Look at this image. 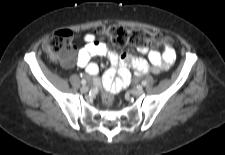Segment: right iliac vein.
Instances as JSON below:
<instances>
[{"label":"right iliac vein","mask_w":225,"mask_h":155,"mask_svg":"<svg viewBox=\"0 0 225 155\" xmlns=\"http://www.w3.org/2000/svg\"><path fill=\"white\" fill-rule=\"evenodd\" d=\"M88 90H89L88 86H82L81 89H80V91H81L82 93H87Z\"/></svg>","instance_id":"63e3f726"}]
</instances>
